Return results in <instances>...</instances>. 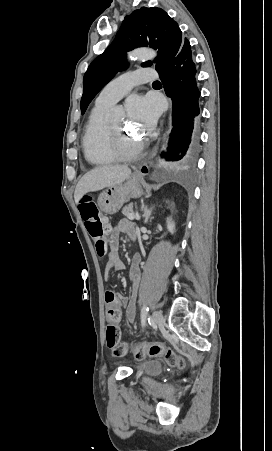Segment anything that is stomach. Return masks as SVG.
I'll return each instance as SVG.
<instances>
[{"mask_svg":"<svg viewBox=\"0 0 272 451\" xmlns=\"http://www.w3.org/2000/svg\"><path fill=\"white\" fill-rule=\"evenodd\" d=\"M142 180V176L133 174L131 178H127L126 182L114 184V186H110V188L101 192L98 198L100 210L105 212V214H116L130 198L143 196L144 192L142 186H140Z\"/></svg>","mask_w":272,"mask_h":451,"instance_id":"stomach-1","label":"stomach"}]
</instances>
